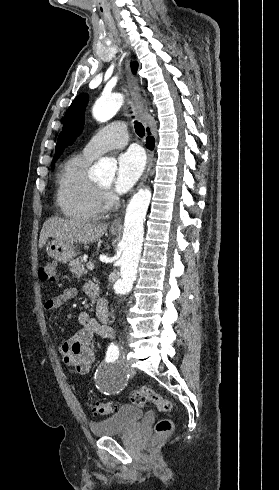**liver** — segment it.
Returning a JSON list of instances; mask_svg holds the SVG:
<instances>
[{"label": "liver", "mask_w": 279, "mask_h": 490, "mask_svg": "<svg viewBox=\"0 0 279 490\" xmlns=\"http://www.w3.org/2000/svg\"><path fill=\"white\" fill-rule=\"evenodd\" d=\"M107 230L106 224H90L88 220H64V218H49L43 224L40 232L39 248L45 246L48 238L58 242H97Z\"/></svg>", "instance_id": "liver-1"}]
</instances>
